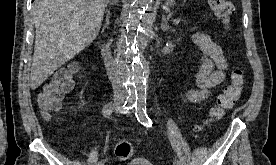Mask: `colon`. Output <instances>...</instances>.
<instances>
[{
    "label": "colon",
    "mask_w": 276,
    "mask_h": 165,
    "mask_svg": "<svg viewBox=\"0 0 276 165\" xmlns=\"http://www.w3.org/2000/svg\"><path fill=\"white\" fill-rule=\"evenodd\" d=\"M208 4L225 28H229L234 13L233 5L227 0H208ZM73 76L74 70L72 68H64L55 72L43 84L38 94V104L45 117L49 118L59 111L64 93L72 86ZM243 85V72L235 68L231 73L229 84L218 96L216 105L210 110L207 120L199 128L200 130L208 124L221 119L225 112L235 105L241 96ZM133 153L134 148L129 141H120L116 146V156L120 160L130 159Z\"/></svg>",
    "instance_id": "colon-1"
}]
</instances>
